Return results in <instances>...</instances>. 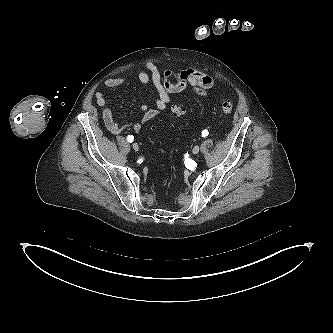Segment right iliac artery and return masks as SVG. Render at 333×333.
Returning a JSON list of instances; mask_svg holds the SVG:
<instances>
[{"mask_svg": "<svg viewBox=\"0 0 333 333\" xmlns=\"http://www.w3.org/2000/svg\"><path fill=\"white\" fill-rule=\"evenodd\" d=\"M133 140H134V137H133L132 135H129V136L127 137V141H128L129 143H132Z\"/></svg>", "mask_w": 333, "mask_h": 333, "instance_id": "82829eb1", "label": "right iliac artery"}]
</instances>
